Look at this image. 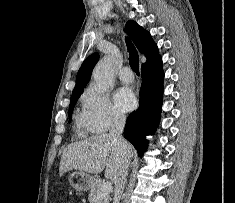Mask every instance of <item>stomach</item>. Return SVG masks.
<instances>
[{
  "label": "stomach",
  "instance_id": "obj_1",
  "mask_svg": "<svg viewBox=\"0 0 235 203\" xmlns=\"http://www.w3.org/2000/svg\"><path fill=\"white\" fill-rule=\"evenodd\" d=\"M68 181L76 191H87L93 186L95 179L86 172L75 171L69 174Z\"/></svg>",
  "mask_w": 235,
  "mask_h": 203
}]
</instances>
